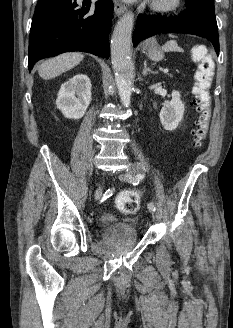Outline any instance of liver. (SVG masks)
<instances>
[{
	"mask_svg": "<svg viewBox=\"0 0 233 328\" xmlns=\"http://www.w3.org/2000/svg\"><path fill=\"white\" fill-rule=\"evenodd\" d=\"M84 55L77 52L64 53L44 61L38 69L39 76L43 79H52L78 65Z\"/></svg>",
	"mask_w": 233,
	"mask_h": 328,
	"instance_id": "obj_1",
	"label": "liver"
}]
</instances>
